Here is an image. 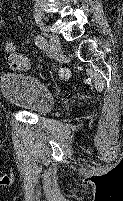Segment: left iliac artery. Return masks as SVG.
Masks as SVG:
<instances>
[{"label":"left iliac artery","instance_id":"1","mask_svg":"<svg viewBox=\"0 0 123 201\" xmlns=\"http://www.w3.org/2000/svg\"><path fill=\"white\" fill-rule=\"evenodd\" d=\"M35 43L41 49H47V47H48V44H47L45 38L43 36H40V35L36 36Z\"/></svg>","mask_w":123,"mask_h":201}]
</instances>
